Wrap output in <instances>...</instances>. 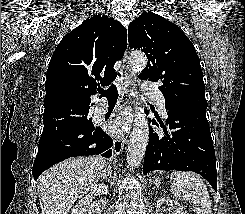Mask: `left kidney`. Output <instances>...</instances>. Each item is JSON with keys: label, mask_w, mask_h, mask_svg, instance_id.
<instances>
[{"label": "left kidney", "mask_w": 245, "mask_h": 214, "mask_svg": "<svg viewBox=\"0 0 245 214\" xmlns=\"http://www.w3.org/2000/svg\"><path fill=\"white\" fill-rule=\"evenodd\" d=\"M166 205L174 206L175 211L171 214H187L184 207L179 202L170 199V197H161L157 201L156 214H167Z\"/></svg>", "instance_id": "left-kidney-1"}]
</instances>
